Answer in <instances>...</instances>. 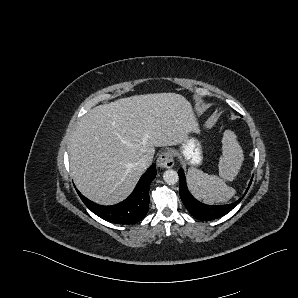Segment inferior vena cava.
<instances>
[{"instance_id":"inferior-vena-cava-1","label":"inferior vena cava","mask_w":298,"mask_h":298,"mask_svg":"<svg viewBox=\"0 0 298 298\" xmlns=\"http://www.w3.org/2000/svg\"><path fill=\"white\" fill-rule=\"evenodd\" d=\"M152 162L145 156H143L140 161L138 162V165L143 168L144 170L148 169Z\"/></svg>"}]
</instances>
